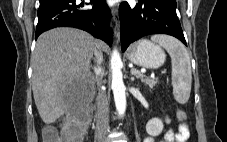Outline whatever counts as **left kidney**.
Here are the masks:
<instances>
[{
	"label": "left kidney",
	"mask_w": 227,
	"mask_h": 142,
	"mask_svg": "<svg viewBox=\"0 0 227 142\" xmlns=\"http://www.w3.org/2000/svg\"><path fill=\"white\" fill-rule=\"evenodd\" d=\"M163 122L159 118H153L146 124V132L150 136H158L163 130Z\"/></svg>",
	"instance_id": "1"
}]
</instances>
